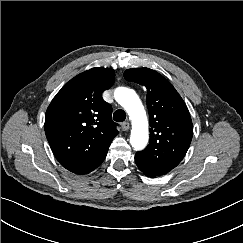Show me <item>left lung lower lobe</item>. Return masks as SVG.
I'll return each instance as SVG.
<instances>
[{"label":"left lung lower lobe","mask_w":243,"mask_h":243,"mask_svg":"<svg viewBox=\"0 0 243 243\" xmlns=\"http://www.w3.org/2000/svg\"><path fill=\"white\" fill-rule=\"evenodd\" d=\"M145 175L149 177H156L155 175H151V174H145Z\"/></svg>","instance_id":"0a47b994"}]
</instances>
